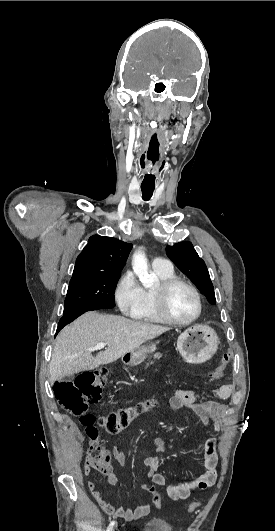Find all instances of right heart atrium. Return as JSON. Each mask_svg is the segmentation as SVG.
<instances>
[{
    "label": "right heart atrium",
    "instance_id": "right-heart-atrium-1",
    "mask_svg": "<svg viewBox=\"0 0 275 531\" xmlns=\"http://www.w3.org/2000/svg\"><path fill=\"white\" fill-rule=\"evenodd\" d=\"M115 299L121 312L134 317L144 305V289L131 271L124 273L115 289Z\"/></svg>",
    "mask_w": 275,
    "mask_h": 531
}]
</instances>
